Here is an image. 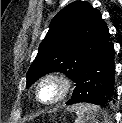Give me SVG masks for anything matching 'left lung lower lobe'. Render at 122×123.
Masks as SVG:
<instances>
[{
  "label": "left lung lower lobe",
  "instance_id": "1",
  "mask_svg": "<svg viewBox=\"0 0 122 123\" xmlns=\"http://www.w3.org/2000/svg\"><path fill=\"white\" fill-rule=\"evenodd\" d=\"M114 72V48L109 37L79 73L75 80L76 88L66 104L107 105L114 98Z\"/></svg>",
  "mask_w": 122,
  "mask_h": 123
}]
</instances>
